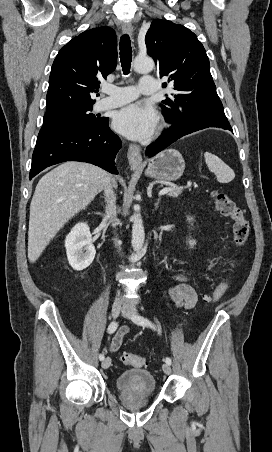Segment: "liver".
Returning <instances> with one entry per match:
<instances>
[{
	"label": "liver",
	"mask_w": 272,
	"mask_h": 452,
	"mask_svg": "<svg viewBox=\"0 0 272 452\" xmlns=\"http://www.w3.org/2000/svg\"><path fill=\"white\" fill-rule=\"evenodd\" d=\"M110 182V174L102 168L77 161L65 162L45 174L30 204V262H35L59 230Z\"/></svg>",
	"instance_id": "1"
}]
</instances>
